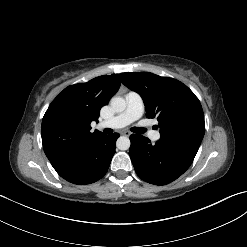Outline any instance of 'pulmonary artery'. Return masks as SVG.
Here are the masks:
<instances>
[{
  "label": "pulmonary artery",
  "instance_id": "e3ab8cb5",
  "mask_svg": "<svg viewBox=\"0 0 247 247\" xmlns=\"http://www.w3.org/2000/svg\"><path fill=\"white\" fill-rule=\"evenodd\" d=\"M126 108L117 116L100 123V127H109L113 129L123 128L135 120L139 119L144 112V103L142 97L134 91H129L125 95ZM152 140H158L159 132L152 131L149 134Z\"/></svg>",
  "mask_w": 247,
  "mask_h": 247
}]
</instances>
